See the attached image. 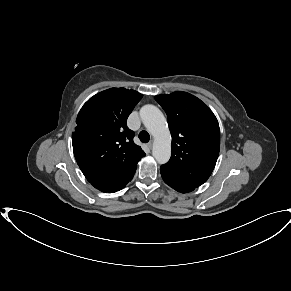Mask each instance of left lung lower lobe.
Segmentation results:
<instances>
[{"label":"left lung lower lobe","mask_w":291,"mask_h":291,"mask_svg":"<svg viewBox=\"0 0 291 291\" xmlns=\"http://www.w3.org/2000/svg\"><path fill=\"white\" fill-rule=\"evenodd\" d=\"M161 176L166 184H168L173 189H175L176 191L181 192V193L191 192L196 187H198V186L190 184L184 180H181V179L171 175L170 173H168L162 169H161Z\"/></svg>","instance_id":"obj_1"}]
</instances>
